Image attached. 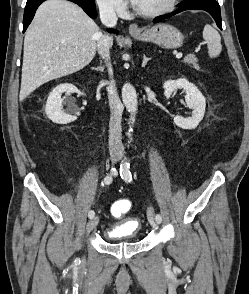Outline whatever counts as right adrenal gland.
<instances>
[{
    "instance_id": "1",
    "label": "right adrenal gland",
    "mask_w": 249,
    "mask_h": 294,
    "mask_svg": "<svg viewBox=\"0 0 249 294\" xmlns=\"http://www.w3.org/2000/svg\"><path fill=\"white\" fill-rule=\"evenodd\" d=\"M92 69H94V70H96V71L103 72V70H104V67H102V66H99V67H93Z\"/></svg>"
}]
</instances>
